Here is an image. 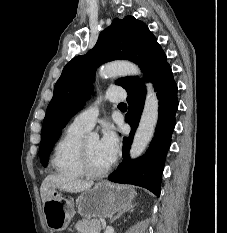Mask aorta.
<instances>
[{
  "instance_id": "1",
  "label": "aorta",
  "mask_w": 227,
  "mask_h": 233,
  "mask_svg": "<svg viewBox=\"0 0 227 233\" xmlns=\"http://www.w3.org/2000/svg\"><path fill=\"white\" fill-rule=\"evenodd\" d=\"M98 75L104 79L117 76L135 75L142 77L139 67L128 61L108 63L99 69ZM146 87L147 95L144 109L130 149V157L133 159L139 157L148 146L154 135L159 116V101L156 93L154 92L153 85L151 83H146ZM95 136V133H91L89 135L91 138Z\"/></svg>"
}]
</instances>
